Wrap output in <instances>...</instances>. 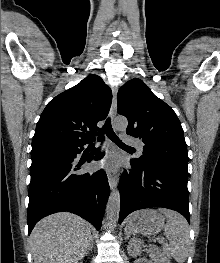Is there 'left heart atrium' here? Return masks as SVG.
Masks as SVG:
<instances>
[{"label": "left heart atrium", "mask_w": 220, "mask_h": 263, "mask_svg": "<svg viewBox=\"0 0 220 263\" xmlns=\"http://www.w3.org/2000/svg\"><path fill=\"white\" fill-rule=\"evenodd\" d=\"M100 166L113 171L118 167V158L115 155H109L100 162Z\"/></svg>", "instance_id": "obj_1"}]
</instances>
